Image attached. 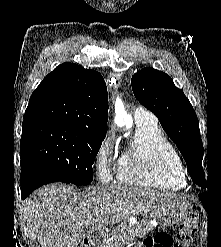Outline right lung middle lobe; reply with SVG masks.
Returning a JSON list of instances; mask_svg holds the SVG:
<instances>
[{"mask_svg":"<svg viewBox=\"0 0 221 247\" xmlns=\"http://www.w3.org/2000/svg\"><path fill=\"white\" fill-rule=\"evenodd\" d=\"M104 138L73 126L25 128L20 141L21 158L44 164L73 185H88Z\"/></svg>","mask_w":221,"mask_h":247,"instance_id":"obj_1","label":"right lung middle lobe"}]
</instances>
